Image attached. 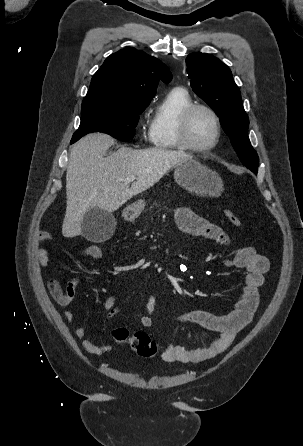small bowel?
Listing matches in <instances>:
<instances>
[{
	"mask_svg": "<svg viewBox=\"0 0 303 446\" xmlns=\"http://www.w3.org/2000/svg\"><path fill=\"white\" fill-rule=\"evenodd\" d=\"M175 219L179 229L191 238H204L221 245H231L230 238L219 226L195 214L188 208H179L176 211ZM38 240L40 243H48L51 240V234L41 232ZM37 259L42 267L48 266L49 259L45 248L38 249ZM225 263L228 266L246 271L243 290L235 303L234 309L225 315H215L206 311H189L180 315V322L199 326L216 333V336L207 346L194 349L180 345H169L162 353L163 360L186 364L202 363L210 360L224 352L235 340L238 333L252 320L259 302L258 290L263 284L264 275L269 269V261L265 256L258 254L253 247L245 246L238 248L233 257L227 259ZM81 282L82 277L80 275L68 280L64 288L57 279L51 278L47 282L52 298L65 310L64 317L69 324L74 321V313L67 308L71 305L76 294V288ZM155 305V298L149 296L145 314L140 319V324L143 327L152 325ZM104 309L109 319L119 314L120 309L116 306L114 296L106 299ZM73 332L76 338L82 340L81 347L85 352L104 354L112 350L111 345H100L85 339L86 329L83 326L74 327Z\"/></svg>",
	"mask_w": 303,
	"mask_h": 446,
	"instance_id": "small-bowel-1",
	"label": "small bowel"
}]
</instances>
